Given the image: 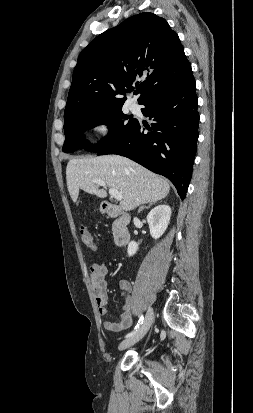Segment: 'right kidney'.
I'll return each instance as SVG.
<instances>
[{
	"mask_svg": "<svg viewBox=\"0 0 253 413\" xmlns=\"http://www.w3.org/2000/svg\"><path fill=\"white\" fill-rule=\"evenodd\" d=\"M171 217V208L168 205H158L147 215L150 234L154 239L160 238L166 231ZM138 250V244L131 241L128 244V256H133Z\"/></svg>",
	"mask_w": 253,
	"mask_h": 413,
	"instance_id": "1",
	"label": "right kidney"
}]
</instances>
